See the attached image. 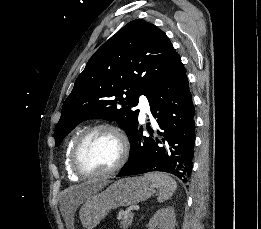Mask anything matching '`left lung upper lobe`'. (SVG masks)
Returning <instances> with one entry per match:
<instances>
[{
    "mask_svg": "<svg viewBox=\"0 0 261 229\" xmlns=\"http://www.w3.org/2000/svg\"><path fill=\"white\" fill-rule=\"evenodd\" d=\"M180 64L163 31L142 19L129 22L93 54L77 77L55 127V145L77 124L94 118L116 120L130 139L139 113L131 107Z\"/></svg>",
    "mask_w": 261,
    "mask_h": 229,
    "instance_id": "left-lung-upper-lobe-1",
    "label": "left lung upper lobe"
}]
</instances>
